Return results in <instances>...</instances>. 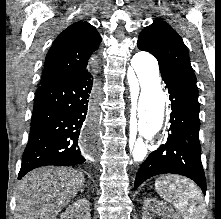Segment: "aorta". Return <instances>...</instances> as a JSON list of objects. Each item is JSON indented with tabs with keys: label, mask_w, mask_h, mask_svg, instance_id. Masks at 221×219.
<instances>
[{
	"label": "aorta",
	"mask_w": 221,
	"mask_h": 219,
	"mask_svg": "<svg viewBox=\"0 0 221 219\" xmlns=\"http://www.w3.org/2000/svg\"><path fill=\"white\" fill-rule=\"evenodd\" d=\"M140 85L135 124L138 137H132L130 153L135 162L144 160L147 151L143 138L151 140L162 128L165 119L166 96L161 87L159 66L148 52H138L131 59Z\"/></svg>",
	"instance_id": "1"
}]
</instances>
